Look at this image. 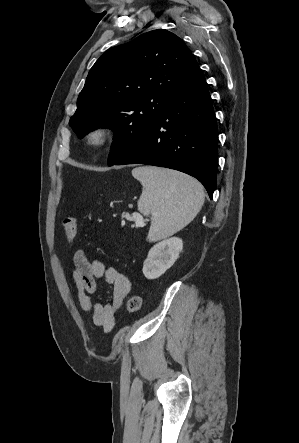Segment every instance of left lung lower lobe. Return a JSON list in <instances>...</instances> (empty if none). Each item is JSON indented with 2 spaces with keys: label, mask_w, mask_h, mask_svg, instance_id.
Listing matches in <instances>:
<instances>
[{
  "label": "left lung lower lobe",
  "mask_w": 299,
  "mask_h": 443,
  "mask_svg": "<svg viewBox=\"0 0 299 443\" xmlns=\"http://www.w3.org/2000/svg\"><path fill=\"white\" fill-rule=\"evenodd\" d=\"M217 142L212 101L198 68L174 92L155 123L113 165L149 164L184 172L198 179L212 199Z\"/></svg>",
  "instance_id": "obj_1"
}]
</instances>
